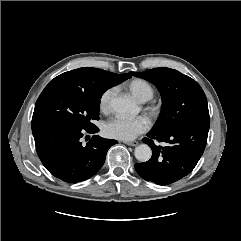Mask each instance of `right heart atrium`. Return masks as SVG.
Here are the masks:
<instances>
[{
  "label": "right heart atrium",
  "instance_id": "right-heart-atrium-1",
  "mask_svg": "<svg viewBox=\"0 0 241 241\" xmlns=\"http://www.w3.org/2000/svg\"><path fill=\"white\" fill-rule=\"evenodd\" d=\"M115 94V88L106 89L99 98V108L102 112L107 113L110 110L111 100Z\"/></svg>",
  "mask_w": 241,
  "mask_h": 241
}]
</instances>
